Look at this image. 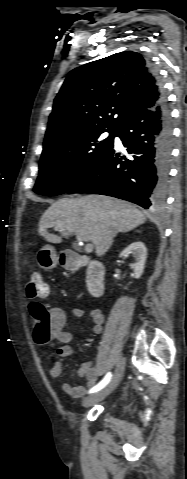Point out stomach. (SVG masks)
I'll return each instance as SVG.
<instances>
[{"instance_id": "1", "label": "stomach", "mask_w": 187, "mask_h": 479, "mask_svg": "<svg viewBox=\"0 0 187 479\" xmlns=\"http://www.w3.org/2000/svg\"><path fill=\"white\" fill-rule=\"evenodd\" d=\"M37 257L39 266L46 270L54 268L59 261L55 249L50 245L43 246L39 250Z\"/></svg>"}]
</instances>
